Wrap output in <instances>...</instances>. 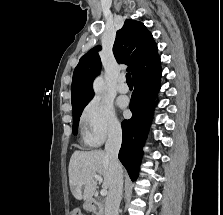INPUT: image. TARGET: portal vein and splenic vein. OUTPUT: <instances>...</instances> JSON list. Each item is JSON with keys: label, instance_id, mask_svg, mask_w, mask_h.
Returning a JSON list of instances; mask_svg holds the SVG:
<instances>
[{"label": "portal vein and splenic vein", "instance_id": "portal-vein-and-splenic-vein-1", "mask_svg": "<svg viewBox=\"0 0 223 215\" xmlns=\"http://www.w3.org/2000/svg\"><path fill=\"white\" fill-rule=\"evenodd\" d=\"M91 177H95L96 181H99V183H102L103 177L101 175H91ZM101 195H107V189H101L100 191Z\"/></svg>", "mask_w": 223, "mask_h": 215}]
</instances>
